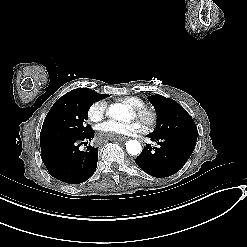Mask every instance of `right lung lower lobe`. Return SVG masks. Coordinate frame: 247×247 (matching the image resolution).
<instances>
[{
    "instance_id": "obj_1",
    "label": "right lung lower lobe",
    "mask_w": 247,
    "mask_h": 247,
    "mask_svg": "<svg viewBox=\"0 0 247 247\" xmlns=\"http://www.w3.org/2000/svg\"><path fill=\"white\" fill-rule=\"evenodd\" d=\"M94 136V131L76 139H62L40 145L41 156L49 174L54 178L69 183L79 184L88 180L96 171L98 149L87 147L80 151L78 140Z\"/></svg>"
}]
</instances>
